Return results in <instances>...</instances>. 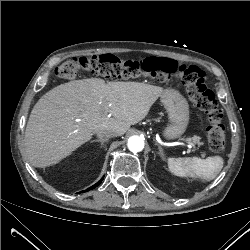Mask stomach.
Returning a JSON list of instances; mask_svg holds the SVG:
<instances>
[{
	"label": "stomach",
	"instance_id": "obj_1",
	"mask_svg": "<svg viewBox=\"0 0 250 250\" xmlns=\"http://www.w3.org/2000/svg\"><path fill=\"white\" fill-rule=\"evenodd\" d=\"M161 102L168 113L169 123L163 130L167 139L180 137L189 123V105L187 100L177 91L166 90L161 94Z\"/></svg>",
	"mask_w": 250,
	"mask_h": 250
}]
</instances>
